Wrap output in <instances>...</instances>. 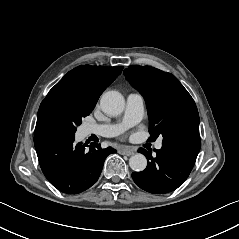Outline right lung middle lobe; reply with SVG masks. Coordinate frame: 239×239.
<instances>
[{
    "label": "right lung middle lobe",
    "mask_w": 239,
    "mask_h": 239,
    "mask_svg": "<svg viewBox=\"0 0 239 239\" xmlns=\"http://www.w3.org/2000/svg\"><path fill=\"white\" fill-rule=\"evenodd\" d=\"M94 107L63 88H52L39 107L36 127L55 125L75 133L82 118L88 116Z\"/></svg>",
    "instance_id": "obj_1"
}]
</instances>
